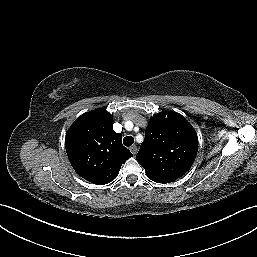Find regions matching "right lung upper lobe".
Listing matches in <instances>:
<instances>
[{"label":"right lung upper lobe","instance_id":"right-lung-upper-lobe-1","mask_svg":"<svg viewBox=\"0 0 257 257\" xmlns=\"http://www.w3.org/2000/svg\"><path fill=\"white\" fill-rule=\"evenodd\" d=\"M65 148L74 170L82 178L103 185L113 181L121 165L133 154L113 130V117L103 109L86 112L69 128Z\"/></svg>","mask_w":257,"mask_h":257}]
</instances>
